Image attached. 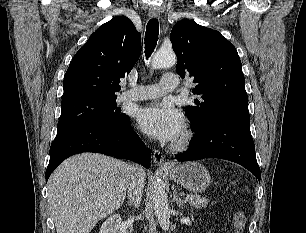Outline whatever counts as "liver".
Masks as SVG:
<instances>
[{"instance_id": "liver-1", "label": "liver", "mask_w": 306, "mask_h": 233, "mask_svg": "<svg viewBox=\"0 0 306 233\" xmlns=\"http://www.w3.org/2000/svg\"><path fill=\"white\" fill-rule=\"evenodd\" d=\"M130 164L97 153L64 161L48 180L49 208L57 233H90L120 208Z\"/></svg>"}]
</instances>
